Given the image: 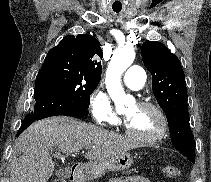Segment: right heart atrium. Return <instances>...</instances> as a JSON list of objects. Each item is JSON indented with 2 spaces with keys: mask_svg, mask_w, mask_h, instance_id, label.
Returning <instances> with one entry per match:
<instances>
[{
  "mask_svg": "<svg viewBox=\"0 0 211 182\" xmlns=\"http://www.w3.org/2000/svg\"><path fill=\"white\" fill-rule=\"evenodd\" d=\"M89 110L94 121L100 125H117L119 123V118L108 96L101 89H96L91 94Z\"/></svg>",
  "mask_w": 211,
  "mask_h": 182,
  "instance_id": "1",
  "label": "right heart atrium"
}]
</instances>
